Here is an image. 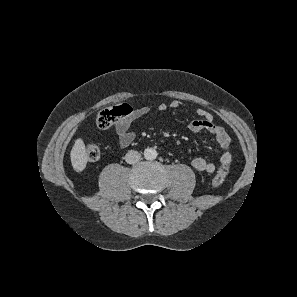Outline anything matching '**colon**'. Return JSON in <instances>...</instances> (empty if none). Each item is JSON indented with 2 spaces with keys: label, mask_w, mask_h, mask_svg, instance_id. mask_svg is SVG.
Instances as JSON below:
<instances>
[{
  "label": "colon",
  "mask_w": 297,
  "mask_h": 297,
  "mask_svg": "<svg viewBox=\"0 0 297 297\" xmlns=\"http://www.w3.org/2000/svg\"><path fill=\"white\" fill-rule=\"evenodd\" d=\"M132 108L128 104L116 105L113 107L106 108L97 116V126L100 129L106 130L110 128L117 120L127 117L131 114ZM86 156L88 160L95 161L100 156L99 147L95 144H88L86 146ZM229 172L228 164H221L216 175L212 179V185L219 187L225 181Z\"/></svg>",
  "instance_id": "obj_1"
}]
</instances>
